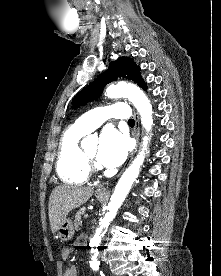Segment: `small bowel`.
Here are the masks:
<instances>
[{"label": "small bowel", "mask_w": 221, "mask_h": 276, "mask_svg": "<svg viewBox=\"0 0 221 276\" xmlns=\"http://www.w3.org/2000/svg\"><path fill=\"white\" fill-rule=\"evenodd\" d=\"M83 242H84V238L83 237L79 238V240L76 242V246H81ZM70 252H71L70 249L65 248L62 251V257L66 259L69 256ZM63 276H78L77 268L74 265H68L65 269Z\"/></svg>", "instance_id": "c3829d8e"}]
</instances>
